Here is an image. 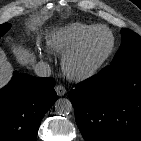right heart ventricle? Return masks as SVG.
<instances>
[{"mask_svg": "<svg viewBox=\"0 0 141 141\" xmlns=\"http://www.w3.org/2000/svg\"><path fill=\"white\" fill-rule=\"evenodd\" d=\"M95 25L81 22L70 23L52 32L46 41L47 48L54 54L65 55Z\"/></svg>", "mask_w": 141, "mask_h": 141, "instance_id": "obj_1", "label": "right heart ventricle"}]
</instances>
